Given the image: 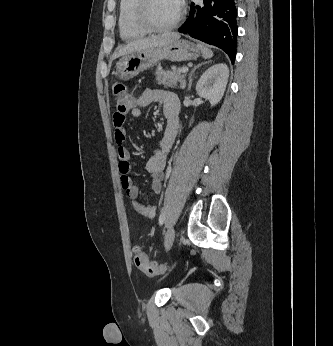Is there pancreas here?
<instances>
[{
  "label": "pancreas",
  "instance_id": "obj_1",
  "mask_svg": "<svg viewBox=\"0 0 333 346\" xmlns=\"http://www.w3.org/2000/svg\"><path fill=\"white\" fill-rule=\"evenodd\" d=\"M185 77L186 75L181 72V69L174 71H163L158 69L156 71V80L159 85H164L170 88H185Z\"/></svg>",
  "mask_w": 333,
  "mask_h": 346
}]
</instances>
